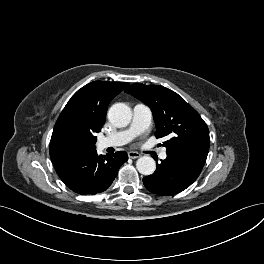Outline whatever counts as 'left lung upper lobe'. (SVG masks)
<instances>
[{
    "mask_svg": "<svg viewBox=\"0 0 264 264\" xmlns=\"http://www.w3.org/2000/svg\"><path fill=\"white\" fill-rule=\"evenodd\" d=\"M147 104L153 113L156 138L167 136L166 151L181 150L206 160L209 130L198 112L174 91L160 85L132 84L126 90Z\"/></svg>",
    "mask_w": 264,
    "mask_h": 264,
    "instance_id": "1",
    "label": "left lung upper lobe"
}]
</instances>
